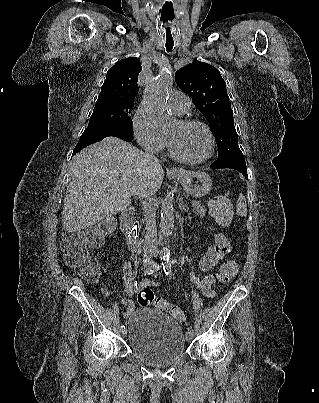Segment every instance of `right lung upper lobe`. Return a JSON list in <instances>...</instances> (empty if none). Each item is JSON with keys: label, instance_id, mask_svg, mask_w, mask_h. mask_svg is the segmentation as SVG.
<instances>
[{"label": "right lung upper lobe", "instance_id": "right-lung-upper-lobe-1", "mask_svg": "<svg viewBox=\"0 0 319 403\" xmlns=\"http://www.w3.org/2000/svg\"><path fill=\"white\" fill-rule=\"evenodd\" d=\"M141 69V62L136 57L118 61L107 72L96 103L134 104L139 89L137 80Z\"/></svg>", "mask_w": 319, "mask_h": 403}]
</instances>
